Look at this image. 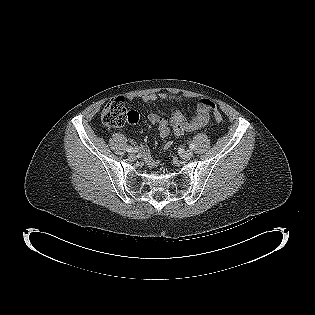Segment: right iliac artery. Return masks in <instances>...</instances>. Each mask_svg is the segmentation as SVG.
Instances as JSON below:
<instances>
[{"label":"right iliac artery","mask_w":315,"mask_h":315,"mask_svg":"<svg viewBox=\"0 0 315 315\" xmlns=\"http://www.w3.org/2000/svg\"><path fill=\"white\" fill-rule=\"evenodd\" d=\"M132 150H133V148H132L131 146H128V147L126 148V151H127V152H132Z\"/></svg>","instance_id":"82829eb1"}]
</instances>
